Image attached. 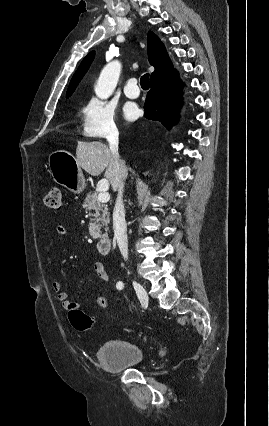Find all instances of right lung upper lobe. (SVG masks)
Returning <instances> with one entry per match:
<instances>
[{"instance_id":"right-lung-upper-lobe-1","label":"right lung upper lobe","mask_w":269,"mask_h":426,"mask_svg":"<svg viewBox=\"0 0 269 426\" xmlns=\"http://www.w3.org/2000/svg\"><path fill=\"white\" fill-rule=\"evenodd\" d=\"M94 54L95 52L92 51L82 60L80 66L71 79L67 96H70L74 92L78 83L87 72L93 61ZM148 60L150 64L155 67L154 72L151 74V81L173 70L163 43L151 31L148 33Z\"/></svg>"}]
</instances>
